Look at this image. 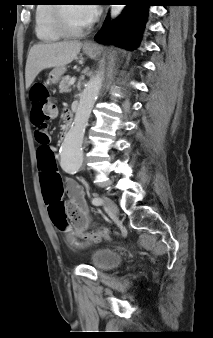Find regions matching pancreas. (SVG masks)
<instances>
[{
    "mask_svg": "<svg viewBox=\"0 0 213 338\" xmlns=\"http://www.w3.org/2000/svg\"><path fill=\"white\" fill-rule=\"evenodd\" d=\"M69 81H70V78L68 76L62 77V79L59 83V92L60 93H67V92L71 91Z\"/></svg>",
    "mask_w": 213,
    "mask_h": 338,
    "instance_id": "1",
    "label": "pancreas"
}]
</instances>
